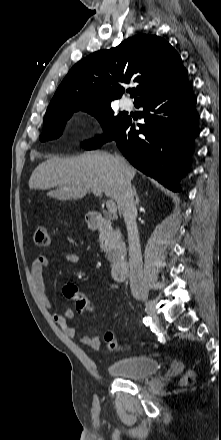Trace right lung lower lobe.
<instances>
[{"label": "right lung lower lobe", "instance_id": "obj_1", "mask_svg": "<svg viewBox=\"0 0 221 440\" xmlns=\"http://www.w3.org/2000/svg\"><path fill=\"white\" fill-rule=\"evenodd\" d=\"M196 97L186 78L178 85L135 103L143 107L145 124L138 131L126 118L115 140L129 162L165 187L179 191L177 178L190 168L194 139L199 134ZM141 134V136H139Z\"/></svg>", "mask_w": 221, "mask_h": 440}]
</instances>
